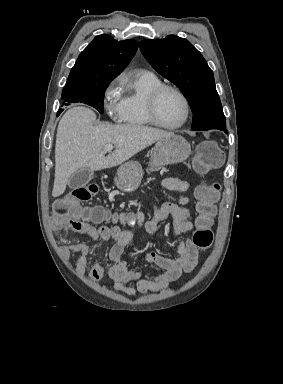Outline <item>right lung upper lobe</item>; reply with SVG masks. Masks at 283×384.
<instances>
[{"label":"right lung upper lobe","mask_w":283,"mask_h":384,"mask_svg":"<svg viewBox=\"0 0 283 384\" xmlns=\"http://www.w3.org/2000/svg\"><path fill=\"white\" fill-rule=\"evenodd\" d=\"M138 48L135 40L96 36L81 52L64 88L110 83L128 65Z\"/></svg>","instance_id":"right-lung-upper-lobe-1"}]
</instances>
